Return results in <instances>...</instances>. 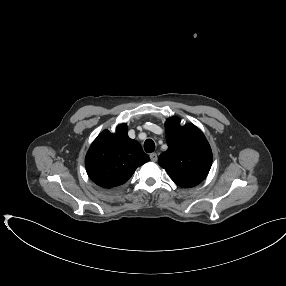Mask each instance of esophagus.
Returning <instances> with one entry per match:
<instances>
[{
	"label": "esophagus",
	"mask_w": 286,
	"mask_h": 286,
	"mask_svg": "<svg viewBox=\"0 0 286 286\" xmlns=\"http://www.w3.org/2000/svg\"><path fill=\"white\" fill-rule=\"evenodd\" d=\"M150 159H151V161L156 162L157 159H158L157 154L156 153H151L150 154Z\"/></svg>",
	"instance_id": "1"
}]
</instances>
